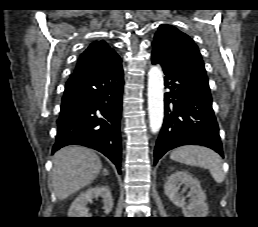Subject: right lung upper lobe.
Listing matches in <instances>:
<instances>
[{"label":"right lung upper lobe","instance_id":"1","mask_svg":"<svg viewBox=\"0 0 258 227\" xmlns=\"http://www.w3.org/2000/svg\"><path fill=\"white\" fill-rule=\"evenodd\" d=\"M115 55H117L116 52L106 42L95 41L81 54L74 73L90 70L98 62L105 61Z\"/></svg>","mask_w":258,"mask_h":227}]
</instances>
